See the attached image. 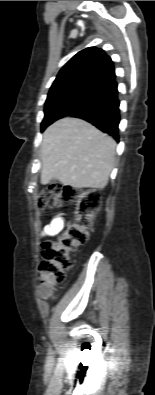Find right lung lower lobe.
Masks as SVG:
<instances>
[{"label":"right lung lower lobe","mask_w":155,"mask_h":395,"mask_svg":"<svg viewBox=\"0 0 155 395\" xmlns=\"http://www.w3.org/2000/svg\"><path fill=\"white\" fill-rule=\"evenodd\" d=\"M119 100L117 83L111 81L102 91L91 101L79 107L68 116H75L84 119L98 129L119 140Z\"/></svg>","instance_id":"obj_1"}]
</instances>
